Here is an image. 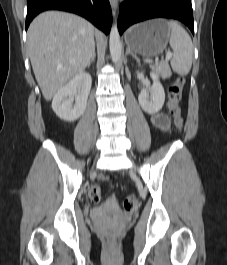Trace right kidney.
Returning <instances> with one entry per match:
<instances>
[{"label": "right kidney", "mask_w": 227, "mask_h": 265, "mask_svg": "<svg viewBox=\"0 0 227 265\" xmlns=\"http://www.w3.org/2000/svg\"><path fill=\"white\" fill-rule=\"evenodd\" d=\"M91 85L92 79L89 73L81 72L75 75L54 95L52 109L56 115L68 122L77 120L85 112ZM78 89L81 91L76 96L73 106V96L77 94Z\"/></svg>", "instance_id": "right-kidney-1"}]
</instances>
